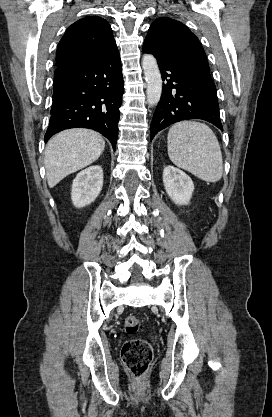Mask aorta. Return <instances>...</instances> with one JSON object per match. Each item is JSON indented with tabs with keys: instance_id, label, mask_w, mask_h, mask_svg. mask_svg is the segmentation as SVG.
I'll return each mask as SVG.
<instances>
[{
	"instance_id": "obj_1",
	"label": "aorta",
	"mask_w": 272,
	"mask_h": 417,
	"mask_svg": "<svg viewBox=\"0 0 272 417\" xmlns=\"http://www.w3.org/2000/svg\"><path fill=\"white\" fill-rule=\"evenodd\" d=\"M142 68L147 82V102L150 106H154L158 104L162 94V78L156 58L151 54H145Z\"/></svg>"
}]
</instances>
